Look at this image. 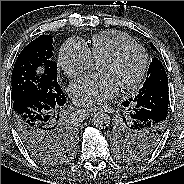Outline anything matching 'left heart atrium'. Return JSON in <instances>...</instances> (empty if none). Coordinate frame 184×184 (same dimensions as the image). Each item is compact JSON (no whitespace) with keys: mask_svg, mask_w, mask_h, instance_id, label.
Masks as SVG:
<instances>
[{"mask_svg":"<svg viewBox=\"0 0 184 184\" xmlns=\"http://www.w3.org/2000/svg\"><path fill=\"white\" fill-rule=\"evenodd\" d=\"M119 90L116 80L107 74H96L82 78L71 85L70 93L74 102L80 106L96 109Z\"/></svg>","mask_w":184,"mask_h":184,"instance_id":"1","label":"left heart atrium"}]
</instances>
